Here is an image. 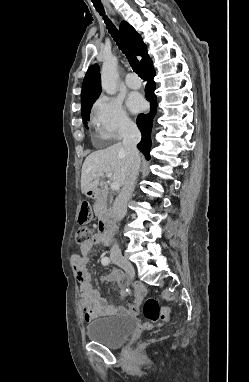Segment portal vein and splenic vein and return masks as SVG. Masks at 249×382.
I'll return each mask as SVG.
<instances>
[{"instance_id": "obj_1", "label": "portal vein and splenic vein", "mask_w": 249, "mask_h": 382, "mask_svg": "<svg viewBox=\"0 0 249 382\" xmlns=\"http://www.w3.org/2000/svg\"><path fill=\"white\" fill-rule=\"evenodd\" d=\"M109 176V174H107ZM110 188L114 191H117L120 189V184L118 182H112L110 184Z\"/></svg>"}]
</instances>
